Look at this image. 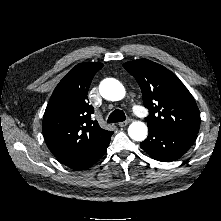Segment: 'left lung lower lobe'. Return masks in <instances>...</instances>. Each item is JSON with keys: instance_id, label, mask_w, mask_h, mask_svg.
I'll return each mask as SVG.
<instances>
[{"instance_id": "obj_1", "label": "left lung lower lobe", "mask_w": 221, "mask_h": 221, "mask_svg": "<svg viewBox=\"0 0 221 221\" xmlns=\"http://www.w3.org/2000/svg\"><path fill=\"white\" fill-rule=\"evenodd\" d=\"M149 135L141 142L140 147L152 158L170 162L177 160L193 144L197 134L185 132H170L154 127H148Z\"/></svg>"}]
</instances>
